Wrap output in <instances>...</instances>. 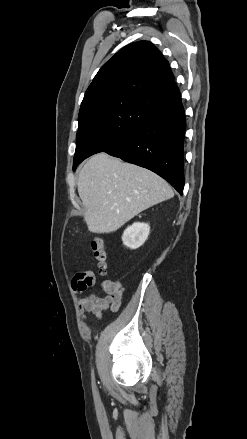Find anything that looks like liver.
<instances>
[{
	"label": "liver",
	"mask_w": 247,
	"mask_h": 439,
	"mask_svg": "<svg viewBox=\"0 0 247 439\" xmlns=\"http://www.w3.org/2000/svg\"><path fill=\"white\" fill-rule=\"evenodd\" d=\"M77 186L84 220L97 234L114 232L140 212L174 196L171 186L157 174L106 153L85 163Z\"/></svg>",
	"instance_id": "1"
}]
</instances>
